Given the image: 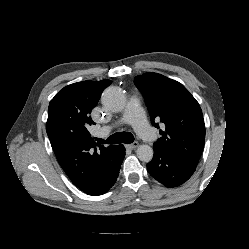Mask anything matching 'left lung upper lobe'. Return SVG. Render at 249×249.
I'll list each match as a JSON object with an SVG mask.
<instances>
[{
    "mask_svg": "<svg viewBox=\"0 0 249 249\" xmlns=\"http://www.w3.org/2000/svg\"><path fill=\"white\" fill-rule=\"evenodd\" d=\"M143 93L151 115L165 124L154 148L164 149L196 167L205 143V124L199 103L179 82L161 74L147 72L134 79Z\"/></svg>",
    "mask_w": 249,
    "mask_h": 249,
    "instance_id": "1",
    "label": "left lung upper lobe"
}]
</instances>
